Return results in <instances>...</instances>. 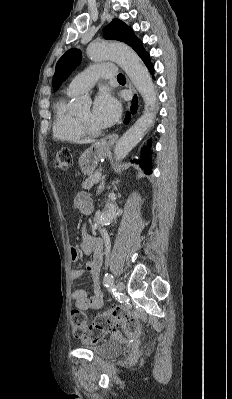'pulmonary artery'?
I'll return each mask as SVG.
<instances>
[{"mask_svg":"<svg viewBox=\"0 0 232 399\" xmlns=\"http://www.w3.org/2000/svg\"><path fill=\"white\" fill-rule=\"evenodd\" d=\"M92 70L84 69L82 73H75L73 81H70L68 96H88V89L94 88L93 84H98V80L115 79V63H93Z\"/></svg>","mask_w":232,"mask_h":399,"instance_id":"e3ab8cb5","label":"pulmonary artery"}]
</instances>
